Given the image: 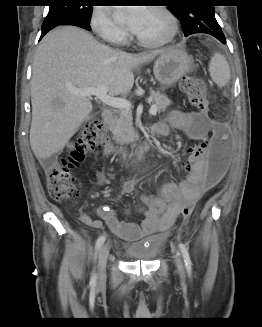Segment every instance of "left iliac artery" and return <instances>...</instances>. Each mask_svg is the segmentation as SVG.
<instances>
[{"label":"left iliac artery","instance_id":"1","mask_svg":"<svg viewBox=\"0 0 262 327\" xmlns=\"http://www.w3.org/2000/svg\"><path fill=\"white\" fill-rule=\"evenodd\" d=\"M179 248H180V251H181V253L183 255V259H184V263H185V267L187 269V272L190 274L191 270H192V266H191V259H190V256H189L188 249L186 248V246L183 243L179 244Z\"/></svg>","mask_w":262,"mask_h":327}]
</instances>
